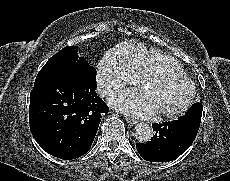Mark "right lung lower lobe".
Segmentation results:
<instances>
[{"label": "right lung lower lobe", "mask_w": 230, "mask_h": 181, "mask_svg": "<svg viewBox=\"0 0 230 181\" xmlns=\"http://www.w3.org/2000/svg\"><path fill=\"white\" fill-rule=\"evenodd\" d=\"M96 87L85 75L36 78L30 93L29 123L44 151L64 160L88 152L102 113L109 111Z\"/></svg>", "instance_id": "obj_1"}]
</instances>
